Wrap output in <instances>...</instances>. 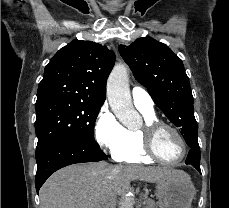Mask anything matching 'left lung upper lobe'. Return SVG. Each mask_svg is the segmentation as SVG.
<instances>
[{
  "label": "left lung upper lobe",
  "instance_id": "5c2ea615",
  "mask_svg": "<svg viewBox=\"0 0 229 208\" xmlns=\"http://www.w3.org/2000/svg\"><path fill=\"white\" fill-rule=\"evenodd\" d=\"M119 52L161 111L181 128V134H197L193 95L181 59L151 37L120 45Z\"/></svg>",
  "mask_w": 229,
  "mask_h": 208
}]
</instances>
